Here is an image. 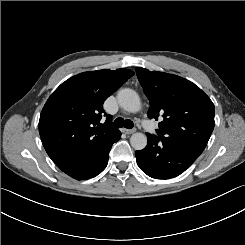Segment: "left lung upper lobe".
Returning <instances> with one entry per match:
<instances>
[{
	"mask_svg": "<svg viewBox=\"0 0 245 245\" xmlns=\"http://www.w3.org/2000/svg\"><path fill=\"white\" fill-rule=\"evenodd\" d=\"M150 101L148 117L158 120L159 138L199 156L214 129V104L194 83L176 75L136 68Z\"/></svg>",
	"mask_w": 245,
	"mask_h": 245,
	"instance_id": "1",
	"label": "left lung upper lobe"
}]
</instances>
